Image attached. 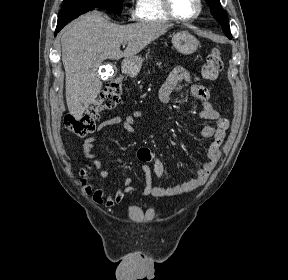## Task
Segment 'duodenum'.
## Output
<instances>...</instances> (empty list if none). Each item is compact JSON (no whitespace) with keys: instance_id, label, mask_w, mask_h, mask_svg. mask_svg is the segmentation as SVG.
<instances>
[{"instance_id":"duodenum-1","label":"duodenum","mask_w":288,"mask_h":280,"mask_svg":"<svg viewBox=\"0 0 288 280\" xmlns=\"http://www.w3.org/2000/svg\"><path fill=\"white\" fill-rule=\"evenodd\" d=\"M122 72L126 76H132L134 74V68L132 67L131 63L125 60L122 64Z\"/></svg>"}]
</instances>
